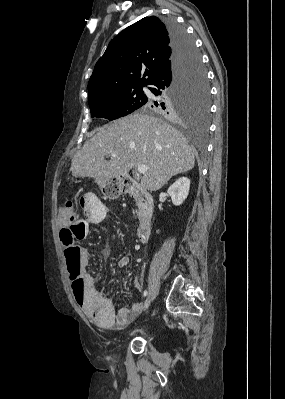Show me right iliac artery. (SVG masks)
<instances>
[{
    "label": "right iliac artery",
    "instance_id": "obj_1",
    "mask_svg": "<svg viewBox=\"0 0 285 399\" xmlns=\"http://www.w3.org/2000/svg\"><path fill=\"white\" fill-rule=\"evenodd\" d=\"M147 295H148V290L146 289L144 290L143 297H146Z\"/></svg>",
    "mask_w": 285,
    "mask_h": 399
}]
</instances>
